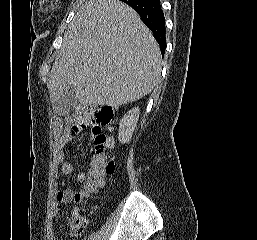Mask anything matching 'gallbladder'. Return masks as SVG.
<instances>
[{
  "label": "gallbladder",
  "instance_id": "obj_1",
  "mask_svg": "<svg viewBox=\"0 0 257 240\" xmlns=\"http://www.w3.org/2000/svg\"><path fill=\"white\" fill-rule=\"evenodd\" d=\"M78 106V99L75 96V90L72 85H68L63 96L53 104L56 114L67 116L72 113Z\"/></svg>",
  "mask_w": 257,
  "mask_h": 240
}]
</instances>
